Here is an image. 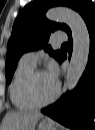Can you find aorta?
I'll return each instance as SVG.
<instances>
[{
  "label": "aorta",
  "instance_id": "762f6f07",
  "mask_svg": "<svg viewBox=\"0 0 95 130\" xmlns=\"http://www.w3.org/2000/svg\"><path fill=\"white\" fill-rule=\"evenodd\" d=\"M46 17L50 21L63 22L71 30L73 52L67 69L65 88L72 91L78 84L88 63L90 37L83 18L74 10L64 7L51 8Z\"/></svg>",
  "mask_w": 95,
  "mask_h": 130
}]
</instances>
